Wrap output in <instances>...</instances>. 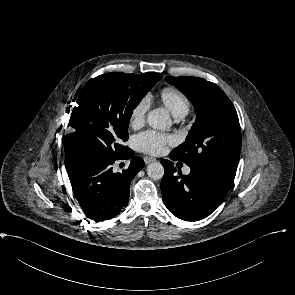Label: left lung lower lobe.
I'll use <instances>...</instances> for the list:
<instances>
[{
  "instance_id": "left-lung-lower-lobe-1",
  "label": "left lung lower lobe",
  "mask_w": 295,
  "mask_h": 295,
  "mask_svg": "<svg viewBox=\"0 0 295 295\" xmlns=\"http://www.w3.org/2000/svg\"><path fill=\"white\" fill-rule=\"evenodd\" d=\"M170 159L176 160L171 153ZM161 164L165 170L161 181L164 204L182 220L198 221L206 218L220 206L230 190L208 172L191 169L188 175L178 176L173 162L162 160Z\"/></svg>"
}]
</instances>
